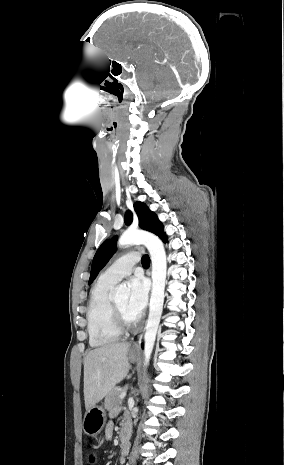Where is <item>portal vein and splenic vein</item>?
Masks as SVG:
<instances>
[{
    "instance_id": "obj_1",
    "label": "portal vein and splenic vein",
    "mask_w": 284,
    "mask_h": 465,
    "mask_svg": "<svg viewBox=\"0 0 284 465\" xmlns=\"http://www.w3.org/2000/svg\"><path fill=\"white\" fill-rule=\"evenodd\" d=\"M127 393L126 391H124V393H121V395H119V399H124V397H126Z\"/></svg>"
}]
</instances>
